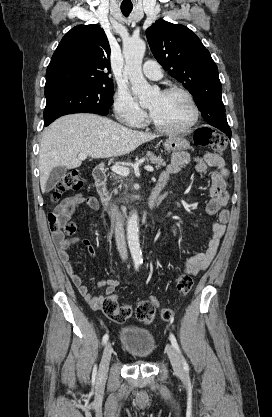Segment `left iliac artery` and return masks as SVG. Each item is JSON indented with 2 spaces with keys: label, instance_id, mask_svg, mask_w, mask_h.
<instances>
[{
  "label": "left iliac artery",
  "instance_id": "44dca946",
  "mask_svg": "<svg viewBox=\"0 0 272 417\" xmlns=\"http://www.w3.org/2000/svg\"><path fill=\"white\" fill-rule=\"evenodd\" d=\"M169 339H170V341H171V343H172V345H173V347L176 349V351L181 355V351H180V348H179V345H178V343H177V340H176V338H175V336L172 334V333H170V337H169ZM181 358H182V362H183V366H184V369L185 370H188L189 369V367H188V364H187V362H186V360L184 359V357L181 355Z\"/></svg>",
  "mask_w": 272,
  "mask_h": 417
}]
</instances>
